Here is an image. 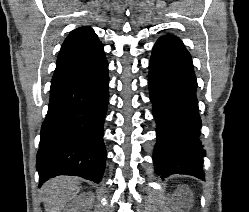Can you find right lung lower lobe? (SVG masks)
Segmentation results:
<instances>
[{"label": "right lung lower lobe", "mask_w": 249, "mask_h": 212, "mask_svg": "<svg viewBox=\"0 0 249 212\" xmlns=\"http://www.w3.org/2000/svg\"><path fill=\"white\" fill-rule=\"evenodd\" d=\"M108 84L105 54L84 67L52 78L37 153L40 185L58 175L101 181L106 165L103 126Z\"/></svg>", "instance_id": "1"}]
</instances>
